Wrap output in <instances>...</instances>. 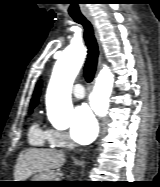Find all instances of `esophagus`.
I'll list each match as a JSON object with an SVG mask.
<instances>
[{"mask_svg": "<svg viewBox=\"0 0 160 187\" xmlns=\"http://www.w3.org/2000/svg\"><path fill=\"white\" fill-rule=\"evenodd\" d=\"M86 18L92 24V26L94 27L96 38H97V40H99L97 28H96V25H95V22H94L93 18L91 16H86ZM101 62H102V56H100L99 64H101Z\"/></svg>", "mask_w": 160, "mask_h": 187, "instance_id": "34e87169", "label": "esophagus"}]
</instances>
